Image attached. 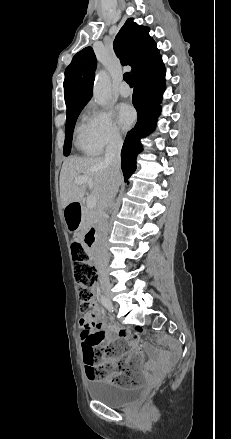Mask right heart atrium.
Here are the masks:
<instances>
[{"label": "right heart atrium", "instance_id": "obj_1", "mask_svg": "<svg viewBox=\"0 0 231 439\" xmlns=\"http://www.w3.org/2000/svg\"><path fill=\"white\" fill-rule=\"evenodd\" d=\"M84 124L86 138L97 153L121 145L122 135L110 111L90 104L85 112Z\"/></svg>", "mask_w": 231, "mask_h": 439}]
</instances>
